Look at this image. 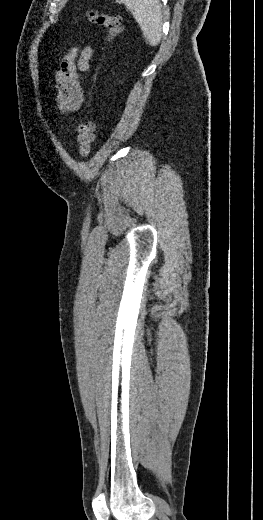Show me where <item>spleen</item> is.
<instances>
[{"mask_svg":"<svg viewBox=\"0 0 263 520\" xmlns=\"http://www.w3.org/2000/svg\"><path fill=\"white\" fill-rule=\"evenodd\" d=\"M131 12L150 46L162 38V6L159 0H120Z\"/></svg>","mask_w":263,"mask_h":520,"instance_id":"obj_1","label":"spleen"}]
</instances>
